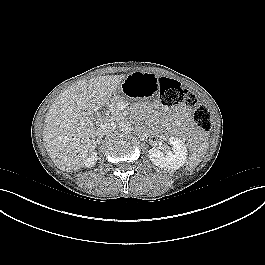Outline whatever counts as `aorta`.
Returning a JSON list of instances; mask_svg holds the SVG:
<instances>
[{
  "instance_id": "aorta-1",
  "label": "aorta",
  "mask_w": 265,
  "mask_h": 265,
  "mask_svg": "<svg viewBox=\"0 0 265 265\" xmlns=\"http://www.w3.org/2000/svg\"><path fill=\"white\" fill-rule=\"evenodd\" d=\"M119 128L124 133H129L132 130L131 124L127 121H121L119 123Z\"/></svg>"
}]
</instances>
